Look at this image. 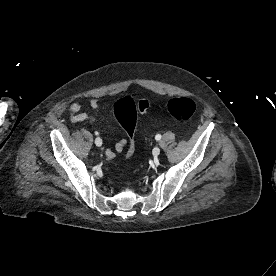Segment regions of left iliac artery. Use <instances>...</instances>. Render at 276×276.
Returning a JSON list of instances; mask_svg holds the SVG:
<instances>
[{
  "label": "left iliac artery",
  "instance_id": "1",
  "mask_svg": "<svg viewBox=\"0 0 276 276\" xmlns=\"http://www.w3.org/2000/svg\"><path fill=\"white\" fill-rule=\"evenodd\" d=\"M155 139L158 141V140H160L161 139V135L160 134H157L156 136H155Z\"/></svg>",
  "mask_w": 276,
  "mask_h": 276
}]
</instances>
